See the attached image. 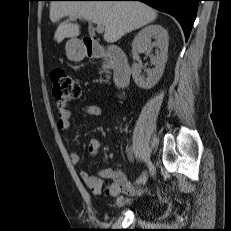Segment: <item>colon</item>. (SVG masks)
I'll return each mask as SVG.
<instances>
[{"mask_svg":"<svg viewBox=\"0 0 231 231\" xmlns=\"http://www.w3.org/2000/svg\"><path fill=\"white\" fill-rule=\"evenodd\" d=\"M50 77L53 83V94L60 103H68L81 97L80 85L64 69H53Z\"/></svg>","mask_w":231,"mask_h":231,"instance_id":"1","label":"colon"}]
</instances>
